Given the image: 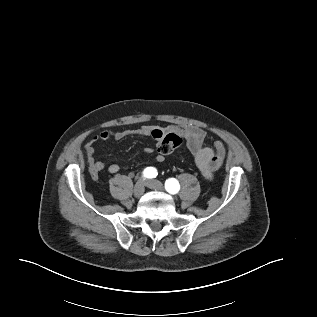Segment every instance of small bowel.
I'll return each mask as SVG.
<instances>
[{
    "label": "small bowel",
    "mask_w": 317,
    "mask_h": 317,
    "mask_svg": "<svg viewBox=\"0 0 317 317\" xmlns=\"http://www.w3.org/2000/svg\"><path fill=\"white\" fill-rule=\"evenodd\" d=\"M169 132H178L186 141L187 148L192 154L195 164L201 174L206 179H211L216 170L220 168L226 155V147L222 141H215L212 147H205L204 140L206 132L203 128L193 125H184L179 129L158 128L156 126L146 125L133 130H105L98 136H95L85 146L88 169L91 176L97 179L99 173L105 169V164L95 158L96 143L100 141H108L110 139L123 140L131 136H151L159 143L162 138ZM146 155L155 154L157 162H163L164 156L160 151L147 147L144 149ZM120 170L118 164H111L107 167L110 174H116Z\"/></svg>",
    "instance_id": "obj_1"
}]
</instances>
